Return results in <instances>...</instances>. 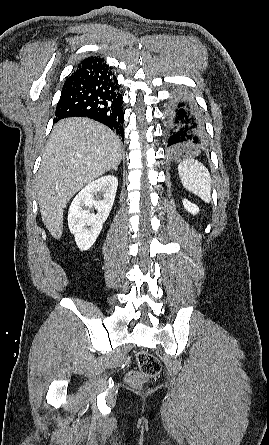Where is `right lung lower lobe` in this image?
<instances>
[{"instance_id":"98d812e1","label":"right lung lower lobe","mask_w":269,"mask_h":445,"mask_svg":"<svg viewBox=\"0 0 269 445\" xmlns=\"http://www.w3.org/2000/svg\"><path fill=\"white\" fill-rule=\"evenodd\" d=\"M118 81L99 57L83 60L63 85L55 122L88 117L107 125L124 142V112Z\"/></svg>"}]
</instances>
